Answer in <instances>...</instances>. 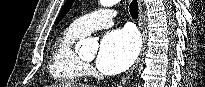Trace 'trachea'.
<instances>
[{"label":"trachea","mask_w":205,"mask_h":87,"mask_svg":"<svg viewBox=\"0 0 205 87\" xmlns=\"http://www.w3.org/2000/svg\"><path fill=\"white\" fill-rule=\"evenodd\" d=\"M139 8L137 0H133L130 4V14L133 18H138Z\"/></svg>","instance_id":"trachea-1"}]
</instances>
